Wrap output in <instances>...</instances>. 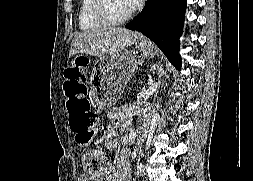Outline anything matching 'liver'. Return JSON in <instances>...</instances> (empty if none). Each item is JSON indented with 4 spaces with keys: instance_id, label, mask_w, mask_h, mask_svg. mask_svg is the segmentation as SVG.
<instances>
[{
    "instance_id": "6515ba94",
    "label": "liver",
    "mask_w": 253,
    "mask_h": 181,
    "mask_svg": "<svg viewBox=\"0 0 253 181\" xmlns=\"http://www.w3.org/2000/svg\"><path fill=\"white\" fill-rule=\"evenodd\" d=\"M139 33L122 27H102L76 34L71 42L69 57L85 54L103 58L119 49L131 46Z\"/></svg>"
}]
</instances>
